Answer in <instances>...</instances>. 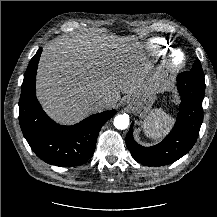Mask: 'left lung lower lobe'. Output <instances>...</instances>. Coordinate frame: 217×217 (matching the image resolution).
<instances>
[{
	"instance_id": "1",
	"label": "left lung lower lobe",
	"mask_w": 217,
	"mask_h": 217,
	"mask_svg": "<svg viewBox=\"0 0 217 217\" xmlns=\"http://www.w3.org/2000/svg\"><path fill=\"white\" fill-rule=\"evenodd\" d=\"M177 87L181 96L179 114L174 128L161 143L143 147L133 138V124L129 129L126 146L133 158L143 165L171 164L188 153L197 140L203 121L205 84L189 72H183L177 77Z\"/></svg>"
}]
</instances>
